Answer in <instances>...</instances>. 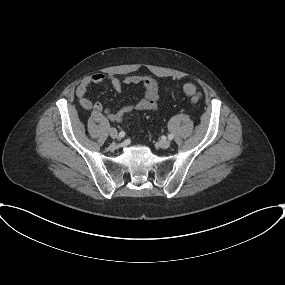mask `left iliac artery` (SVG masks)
Returning a JSON list of instances; mask_svg holds the SVG:
<instances>
[{
	"instance_id": "44dca946",
	"label": "left iliac artery",
	"mask_w": 285,
	"mask_h": 285,
	"mask_svg": "<svg viewBox=\"0 0 285 285\" xmlns=\"http://www.w3.org/2000/svg\"><path fill=\"white\" fill-rule=\"evenodd\" d=\"M173 138H174L173 134H169V135H168V139H169V140H172Z\"/></svg>"
}]
</instances>
